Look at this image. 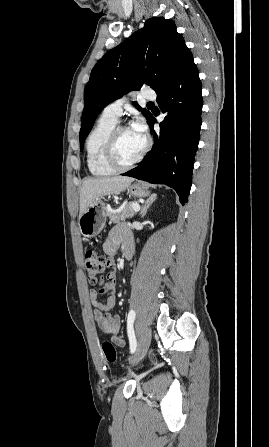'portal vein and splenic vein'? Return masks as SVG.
Returning <instances> with one entry per match:
<instances>
[{"label":"portal vein and splenic vein","instance_id":"obj_1","mask_svg":"<svg viewBox=\"0 0 269 447\" xmlns=\"http://www.w3.org/2000/svg\"><path fill=\"white\" fill-rule=\"evenodd\" d=\"M131 208H133L134 212H139L140 210L139 204H131Z\"/></svg>","mask_w":269,"mask_h":447}]
</instances>
